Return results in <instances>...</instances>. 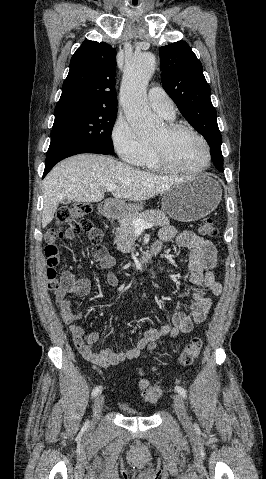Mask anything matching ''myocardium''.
I'll list each match as a JSON object with an SVG mask.
<instances>
[{"mask_svg":"<svg viewBox=\"0 0 266 479\" xmlns=\"http://www.w3.org/2000/svg\"><path fill=\"white\" fill-rule=\"evenodd\" d=\"M165 127L170 132L189 131L193 135H195L199 139V141L201 142L204 148L205 161L201 167L196 169H187V168L178 167L165 157V155L163 154V151L161 150L159 146L151 142L155 160L157 161L161 169L164 171L172 172V173H182V174H188V175H195V174H200L205 172L209 168L211 163V150L205 137L197 129H195L194 127L188 124L168 123L165 125Z\"/></svg>","mask_w":266,"mask_h":479,"instance_id":"f54148a6","label":"myocardium"}]
</instances>
